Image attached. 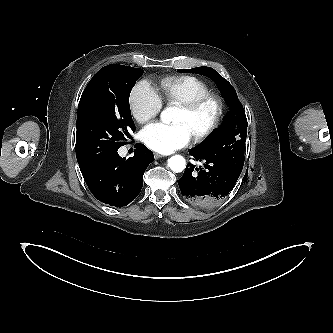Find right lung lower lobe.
<instances>
[{
    "instance_id": "obj_1",
    "label": "right lung lower lobe",
    "mask_w": 333,
    "mask_h": 333,
    "mask_svg": "<svg viewBox=\"0 0 333 333\" xmlns=\"http://www.w3.org/2000/svg\"><path fill=\"white\" fill-rule=\"evenodd\" d=\"M135 148L134 156L128 159L121 158L116 151L81 169L88 188L99 201L123 207L138 196L143 174L154 156L143 144L138 143Z\"/></svg>"
}]
</instances>
